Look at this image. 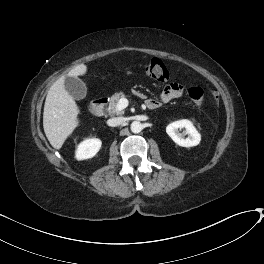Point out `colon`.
<instances>
[{
    "instance_id": "colon-1",
    "label": "colon",
    "mask_w": 264,
    "mask_h": 264,
    "mask_svg": "<svg viewBox=\"0 0 264 264\" xmlns=\"http://www.w3.org/2000/svg\"><path fill=\"white\" fill-rule=\"evenodd\" d=\"M143 67L150 77L158 81H165L169 78V72L166 66L158 58H152L146 61ZM187 96L199 105L218 106L219 104V94L215 90L204 93L200 87H190L187 89Z\"/></svg>"
}]
</instances>
